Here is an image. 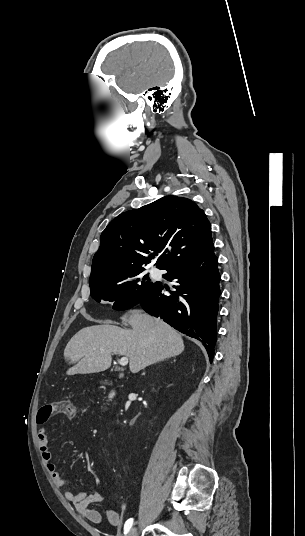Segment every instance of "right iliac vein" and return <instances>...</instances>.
Here are the masks:
<instances>
[{
    "label": "right iliac vein",
    "instance_id": "obj_1",
    "mask_svg": "<svg viewBox=\"0 0 305 536\" xmlns=\"http://www.w3.org/2000/svg\"><path fill=\"white\" fill-rule=\"evenodd\" d=\"M137 530L135 527L131 528L127 536H136Z\"/></svg>",
    "mask_w": 305,
    "mask_h": 536
}]
</instances>
